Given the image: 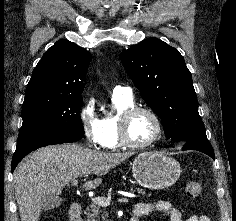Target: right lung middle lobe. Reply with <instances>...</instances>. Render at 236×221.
<instances>
[{"mask_svg": "<svg viewBox=\"0 0 236 221\" xmlns=\"http://www.w3.org/2000/svg\"><path fill=\"white\" fill-rule=\"evenodd\" d=\"M81 95L32 93L25 95L19 136L39 130L84 134L80 119ZM18 136V137H19Z\"/></svg>", "mask_w": 236, "mask_h": 221, "instance_id": "obj_1", "label": "right lung middle lobe"}]
</instances>
